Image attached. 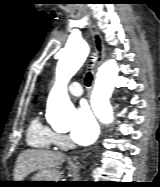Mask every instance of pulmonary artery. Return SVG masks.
Segmentation results:
<instances>
[{"label": "pulmonary artery", "instance_id": "e3ab8cb5", "mask_svg": "<svg viewBox=\"0 0 160 187\" xmlns=\"http://www.w3.org/2000/svg\"><path fill=\"white\" fill-rule=\"evenodd\" d=\"M69 92L74 97H80V96H82L83 95L82 85L79 82H73L69 86Z\"/></svg>", "mask_w": 160, "mask_h": 187}]
</instances>
